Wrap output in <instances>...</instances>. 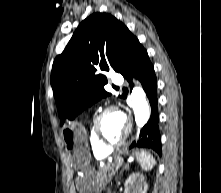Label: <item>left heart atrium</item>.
<instances>
[{"instance_id":"1","label":"left heart atrium","mask_w":221,"mask_h":193,"mask_svg":"<svg viewBox=\"0 0 221 193\" xmlns=\"http://www.w3.org/2000/svg\"><path fill=\"white\" fill-rule=\"evenodd\" d=\"M118 113L120 114V116H121L124 120H126L125 115H124L122 112H118Z\"/></svg>"}]
</instances>
